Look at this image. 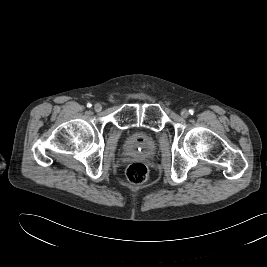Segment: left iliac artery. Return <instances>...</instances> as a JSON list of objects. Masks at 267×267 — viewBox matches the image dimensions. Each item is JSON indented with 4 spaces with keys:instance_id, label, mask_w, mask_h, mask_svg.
Listing matches in <instances>:
<instances>
[{
    "instance_id": "obj_1",
    "label": "left iliac artery",
    "mask_w": 267,
    "mask_h": 267,
    "mask_svg": "<svg viewBox=\"0 0 267 267\" xmlns=\"http://www.w3.org/2000/svg\"><path fill=\"white\" fill-rule=\"evenodd\" d=\"M189 114H190V115H193V114H194V110H193V109H190V110H189Z\"/></svg>"
}]
</instances>
